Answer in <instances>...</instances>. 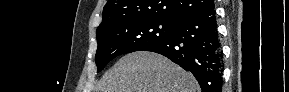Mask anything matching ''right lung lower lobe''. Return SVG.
<instances>
[{
  "mask_svg": "<svg viewBox=\"0 0 289 92\" xmlns=\"http://www.w3.org/2000/svg\"><path fill=\"white\" fill-rule=\"evenodd\" d=\"M192 72L202 92H221L223 60L214 6L181 18L172 36L141 49Z\"/></svg>",
  "mask_w": 289,
  "mask_h": 92,
  "instance_id": "98d812e1",
  "label": "right lung lower lobe"
}]
</instances>
